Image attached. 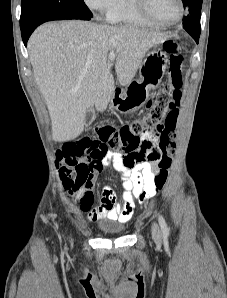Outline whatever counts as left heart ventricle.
<instances>
[{"label": "left heart ventricle", "instance_id": "obj_1", "mask_svg": "<svg viewBox=\"0 0 227 298\" xmlns=\"http://www.w3.org/2000/svg\"><path fill=\"white\" fill-rule=\"evenodd\" d=\"M150 10L154 17L163 22H171L179 15L177 0H149Z\"/></svg>", "mask_w": 227, "mask_h": 298}]
</instances>
